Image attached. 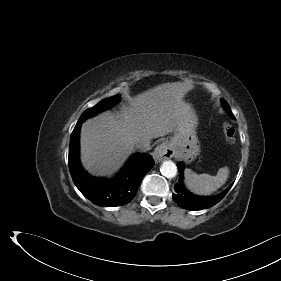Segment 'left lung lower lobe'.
Returning <instances> with one entry per match:
<instances>
[{"mask_svg": "<svg viewBox=\"0 0 281 281\" xmlns=\"http://www.w3.org/2000/svg\"><path fill=\"white\" fill-rule=\"evenodd\" d=\"M178 171L180 173L179 182L174 186L175 193L173 194V200L183 209L188 210H200L210 208L226 195L231 186L216 196L199 197L186 190L183 185V164L178 163Z\"/></svg>", "mask_w": 281, "mask_h": 281, "instance_id": "0a47b994", "label": "left lung lower lobe"}]
</instances>
